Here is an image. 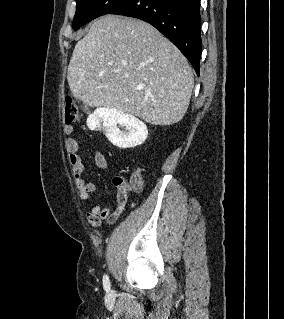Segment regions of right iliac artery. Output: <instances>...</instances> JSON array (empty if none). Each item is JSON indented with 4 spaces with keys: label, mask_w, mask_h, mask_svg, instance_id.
<instances>
[{
    "label": "right iliac artery",
    "mask_w": 284,
    "mask_h": 319,
    "mask_svg": "<svg viewBox=\"0 0 284 319\" xmlns=\"http://www.w3.org/2000/svg\"><path fill=\"white\" fill-rule=\"evenodd\" d=\"M103 286L106 292L110 291V281L107 275L103 276Z\"/></svg>",
    "instance_id": "1"
}]
</instances>
